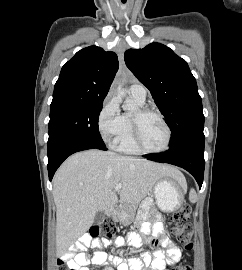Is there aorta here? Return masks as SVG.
<instances>
[{
  "label": "aorta",
  "mask_w": 242,
  "mask_h": 270,
  "mask_svg": "<svg viewBox=\"0 0 242 270\" xmlns=\"http://www.w3.org/2000/svg\"><path fill=\"white\" fill-rule=\"evenodd\" d=\"M118 93L120 95H123L124 91L123 90H118ZM123 109L126 110V111L132 112V111H134L136 109V107L131 103H126V104L123 105Z\"/></svg>",
  "instance_id": "aorta-1"
}]
</instances>
